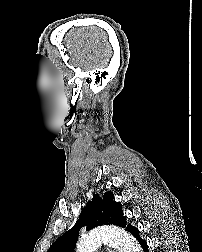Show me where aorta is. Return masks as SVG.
I'll list each match as a JSON object with an SVG mask.
<instances>
[{
	"label": "aorta",
	"mask_w": 202,
	"mask_h": 252,
	"mask_svg": "<svg viewBox=\"0 0 202 252\" xmlns=\"http://www.w3.org/2000/svg\"><path fill=\"white\" fill-rule=\"evenodd\" d=\"M102 242L117 248L119 252H141L136 240L118 227H107L89 233L78 243L77 252H95Z\"/></svg>",
	"instance_id": "aorta-1"
}]
</instances>
